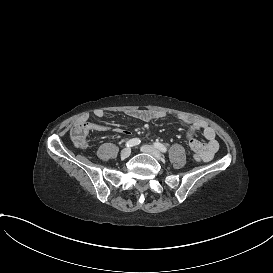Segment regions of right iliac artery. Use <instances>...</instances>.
I'll return each instance as SVG.
<instances>
[{"label": "right iliac artery", "mask_w": 273, "mask_h": 273, "mask_svg": "<svg viewBox=\"0 0 273 273\" xmlns=\"http://www.w3.org/2000/svg\"><path fill=\"white\" fill-rule=\"evenodd\" d=\"M140 142H141L140 139L133 138V139L127 141L125 146L126 147H133V146H136V145L140 144Z\"/></svg>", "instance_id": "82829eb1"}]
</instances>
